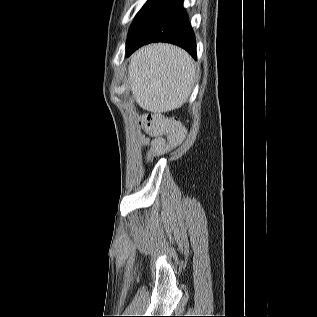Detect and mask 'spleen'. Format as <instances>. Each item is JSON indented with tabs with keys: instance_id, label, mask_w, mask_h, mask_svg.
<instances>
[{
	"instance_id": "spleen-1",
	"label": "spleen",
	"mask_w": 317,
	"mask_h": 317,
	"mask_svg": "<svg viewBox=\"0 0 317 317\" xmlns=\"http://www.w3.org/2000/svg\"><path fill=\"white\" fill-rule=\"evenodd\" d=\"M128 80L140 107L151 112H166L181 107L188 99L195 68L184 50L168 44H153L132 56Z\"/></svg>"
}]
</instances>
